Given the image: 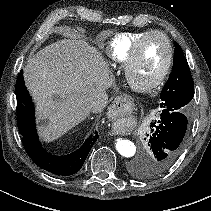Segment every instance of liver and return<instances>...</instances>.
<instances>
[{"label": "liver", "instance_id": "liver-1", "mask_svg": "<svg viewBox=\"0 0 211 211\" xmlns=\"http://www.w3.org/2000/svg\"><path fill=\"white\" fill-rule=\"evenodd\" d=\"M26 85L36 102L38 132L45 142L58 139L108 103L113 78L102 56L83 40L56 41L29 58ZM54 96L57 99L54 100ZM97 105L92 108L91 102Z\"/></svg>", "mask_w": 211, "mask_h": 211}]
</instances>
